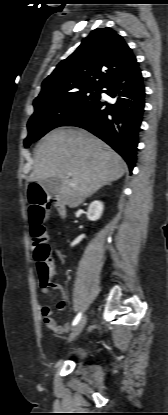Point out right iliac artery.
Segmentation results:
<instances>
[{
	"label": "right iliac artery",
	"instance_id": "right-iliac-artery-1",
	"mask_svg": "<svg viewBox=\"0 0 168 415\" xmlns=\"http://www.w3.org/2000/svg\"><path fill=\"white\" fill-rule=\"evenodd\" d=\"M81 317H82V313L80 312V313H78V315L75 317V319H74V321H73V323H72V326H75V325H76V324L80 321Z\"/></svg>",
	"mask_w": 168,
	"mask_h": 415
}]
</instances>
